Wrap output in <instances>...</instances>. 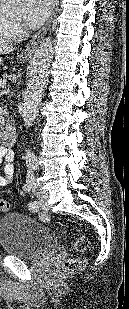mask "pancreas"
Masks as SVG:
<instances>
[{
    "label": "pancreas",
    "instance_id": "1",
    "mask_svg": "<svg viewBox=\"0 0 129 309\" xmlns=\"http://www.w3.org/2000/svg\"><path fill=\"white\" fill-rule=\"evenodd\" d=\"M1 82H6L4 77H3V78L0 77V83H1ZM2 116H4V113L0 111V127H2V124H3V123L1 122Z\"/></svg>",
    "mask_w": 129,
    "mask_h": 309
}]
</instances>
